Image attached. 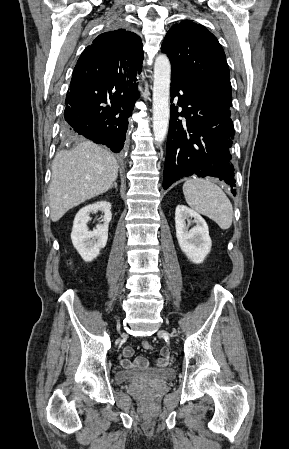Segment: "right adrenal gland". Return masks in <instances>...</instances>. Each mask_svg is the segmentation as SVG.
I'll list each match as a JSON object with an SVG mask.
<instances>
[{
    "label": "right adrenal gland",
    "instance_id": "1",
    "mask_svg": "<svg viewBox=\"0 0 289 449\" xmlns=\"http://www.w3.org/2000/svg\"><path fill=\"white\" fill-rule=\"evenodd\" d=\"M111 187H115V188L117 189V182L114 181V182H113V185H112Z\"/></svg>",
    "mask_w": 289,
    "mask_h": 449
}]
</instances>
